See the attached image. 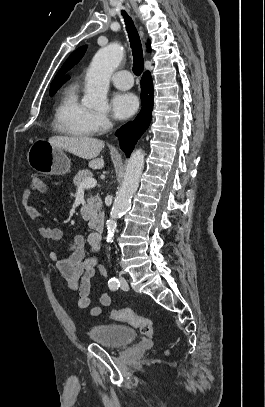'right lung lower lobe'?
I'll return each mask as SVG.
<instances>
[{"mask_svg":"<svg viewBox=\"0 0 265 407\" xmlns=\"http://www.w3.org/2000/svg\"><path fill=\"white\" fill-rule=\"evenodd\" d=\"M141 99L142 109L137 118L128 122L117 130L116 135L120 138V146L130 156L136 142L147 130L151 122V112L153 108V85L150 72H145L141 79Z\"/></svg>","mask_w":265,"mask_h":407,"instance_id":"98d812e1","label":"right lung lower lobe"}]
</instances>
